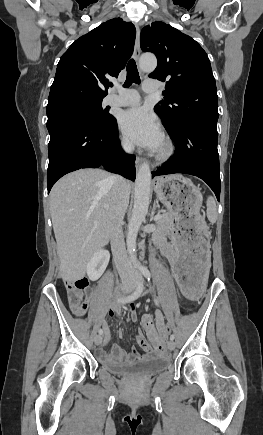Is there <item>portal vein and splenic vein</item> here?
I'll use <instances>...</instances> for the list:
<instances>
[{
  "label": "portal vein and splenic vein",
  "instance_id": "obj_1",
  "mask_svg": "<svg viewBox=\"0 0 263 435\" xmlns=\"http://www.w3.org/2000/svg\"><path fill=\"white\" fill-rule=\"evenodd\" d=\"M161 217H162L161 214L157 215V216L155 217V221L159 220ZM97 225H99V224H98V223H95V226H97Z\"/></svg>",
  "mask_w": 263,
  "mask_h": 435
}]
</instances>
